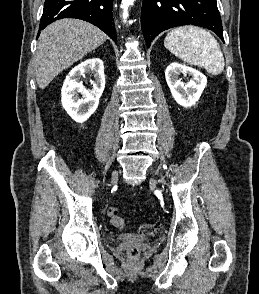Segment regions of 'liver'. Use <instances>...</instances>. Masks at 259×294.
<instances>
[{
	"label": "liver",
	"instance_id": "6515ba94",
	"mask_svg": "<svg viewBox=\"0 0 259 294\" xmlns=\"http://www.w3.org/2000/svg\"><path fill=\"white\" fill-rule=\"evenodd\" d=\"M106 40L103 31L78 19H61L47 26L40 34L35 56L39 88H46L59 73Z\"/></svg>",
	"mask_w": 259,
	"mask_h": 294
}]
</instances>
